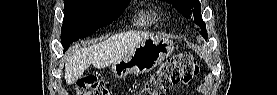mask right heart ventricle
<instances>
[{
    "mask_svg": "<svg viewBox=\"0 0 277 95\" xmlns=\"http://www.w3.org/2000/svg\"><path fill=\"white\" fill-rule=\"evenodd\" d=\"M137 24L139 26H145L146 24H148V18H147V15L145 14V11L142 10V12L139 14Z\"/></svg>",
    "mask_w": 277,
    "mask_h": 95,
    "instance_id": "e07e8e85",
    "label": "right heart ventricle"
}]
</instances>
